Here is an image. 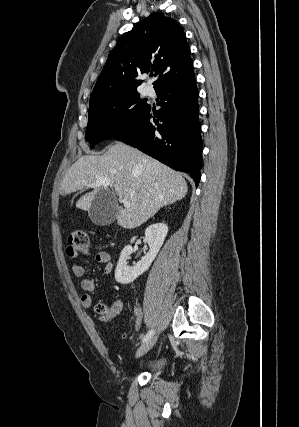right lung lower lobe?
<instances>
[{"label":"right lung lower lobe","instance_id":"right-lung-lower-lobe-1","mask_svg":"<svg viewBox=\"0 0 299 427\" xmlns=\"http://www.w3.org/2000/svg\"><path fill=\"white\" fill-rule=\"evenodd\" d=\"M160 98L158 120L150 122L151 107L141 120L115 137L169 167L188 172L200 181L202 140L198 120V91L194 72L179 79L168 80L155 89ZM160 121V123H159Z\"/></svg>","mask_w":299,"mask_h":427}]
</instances>
